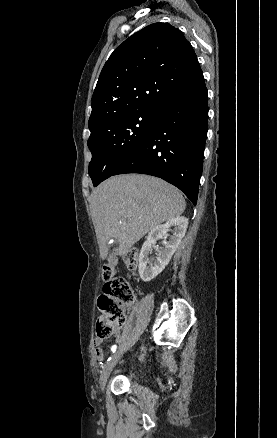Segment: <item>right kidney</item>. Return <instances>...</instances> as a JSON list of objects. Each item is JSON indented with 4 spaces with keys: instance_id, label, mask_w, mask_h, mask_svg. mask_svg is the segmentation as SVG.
<instances>
[{
    "instance_id": "1",
    "label": "right kidney",
    "mask_w": 277,
    "mask_h": 438,
    "mask_svg": "<svg viewBox=\"0 0 277 438\" xmlns=\"http://www.w3.org/2000/svg\"><path fill=\"white\" fill-rule=\"evenodd\" d=\"M189 224L188 218L184 216H176L171 218L166 224L162 226H155L147 236L146 242H144L140 256H139V274L143 282H151L153 278H156L165 266L169 264L176 248H178L182 238H184ZM170 228H173L172 236H169L167 232H170ZM168 238V240H167ZM157 240H163L162 244L164 248L157 250L158 254L156 260L149 258V254L152 252L153 244H156Z\"/></svg>"
}]
</instances>
